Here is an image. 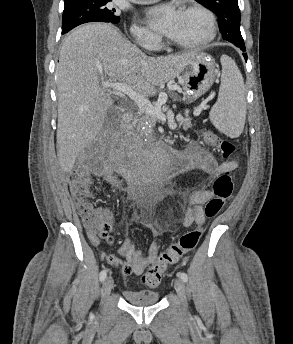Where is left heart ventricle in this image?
I'll list each match as a JSON object with an SVG mask.
<instances>
[{
	"label": "left heart ventricle",
	"mask_w": 293,
	"mask_h": 344,
	"mask_svg": "<svg viewBox=\"0 0 293 344\" xmlns=\"http://www.w3.org/2000/svg\"><path fill=\"white\" fill-rule=\"evenodd\" d=\"M207 33V21L197 11H180L173 32L168 36L173 41L191 42L202 38Z\"/></svg>",
	"instance_id": "b2bd125f"
}]
</instances>
